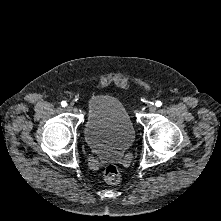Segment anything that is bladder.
<instances>
[{
  "instance_id": "bladder-1",
  "label": "bladder",
  "mask_w": 221,
  "mask_h": 221,
  "mask_svg": "<svg viewBox=\"0 0 221 221\" xmlns=\"http://www.w3.org/2000/svg\"><path fill=\"white\" fill-rule=\"evenodd\" d=\"M84 137L97 153L118 155L135 140L134 126L122 102L111 95H98L88 104Z\"/></svg>"
}]
</instances>
